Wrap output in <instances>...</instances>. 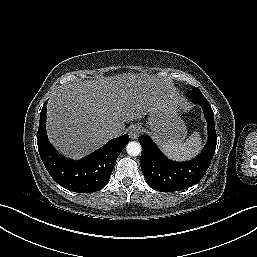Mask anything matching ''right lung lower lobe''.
I'll return each mask as SVG.
<instances>
[{"instance_id":"1","label":"right lung lower lobe","mask_w":257,"mask_h":257,"mask_svg":"<svg viewBox=\"0 0 257 257\" xmlns=\"http://www.w3.org/2000/svg\"><path fill=\"white\" fill-rule=\"evenodd\" d=\"M46 107L40 112L37 144L42 162L60 186L78 193H92L108 182L115 162L129 142L127 134L110 140L103 147L79 161L61 156L50 144L46 133Z\"/></svg>"}]
</instances>
